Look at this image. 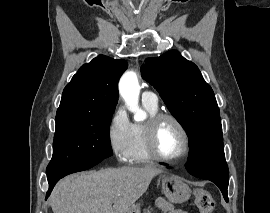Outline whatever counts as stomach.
I'll use <instances>...</instances> for the list:
<instances>
[{"label":"stomach","mask_w":270,"mask_h":213,"mask_svg":"<svg viewBox=\"0 0 270 213\" xmlns=\"http://www.w3.org/2000/svg\"><path fill=\"white\" fill-rule=\"evenodd\" d=\"M160 179L162 193L169 201L181 203L189 199L191 189L182 178L170 174H163ZM127 213H140V207L134 205Z\"/></svg>","instance_id":"0dacf381"}]
</instances>
